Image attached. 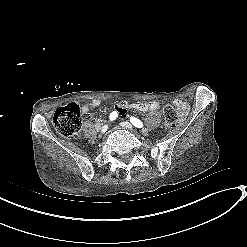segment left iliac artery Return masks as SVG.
Here are the masks:
<instances>
[{"label":"left iliac artery","mask_w":247,"mask_h":247,"mask_svg":"<svg viewBox=\"0 0 247 247\" xmlns=\"http://www.w3.org/2000/svg\"><path fill=\"white\" fill-rule=\"evenodd\" d=\"M130 122H131L135 127H137V128H142V127H143V123H142L139 119H137V118H135V117H131V118H130Z\"/></svg>","instance_id":"44dca946"}]
</instances>
